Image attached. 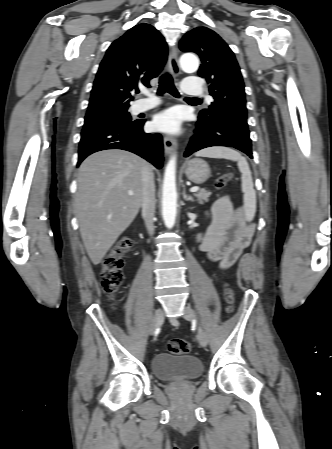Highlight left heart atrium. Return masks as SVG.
I'll list each match as a JSON object with an SVG mask.
<instances>
[{"mask_svg": "<svg viewBox=\"0 0 332 449\" xmlns=\"http://www.w3.org/2000/svg\"><path fill=\"white\" fill-rule=\"evenodd\" d=\"M181 124L182 115L175 108L157 114L152 121L154 130L166 133H177L180 130Z\"/></svg>", "mask_w": 332, "mask_h": 449, "instance_id": "1", "label": "left heart atrium"}]
</instances>
